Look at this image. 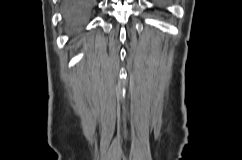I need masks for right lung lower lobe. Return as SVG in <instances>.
I'll return each mask as SVG.
<instances>
[{"mask_svg":"<svg viewBox=\"0 0 242 160\" xmlns=\"http://www.w3.org/2000/svg\"><path fill=\"white\" fill-rule=\"evenodd\" d=\"M65 19L71 26H79L91 15L97 0H63Z\"/></svg>","mask_w":242,"mask_h":160,"instance_id":"98d812e1","label":"right lung lower lobe"}]
</instances>
